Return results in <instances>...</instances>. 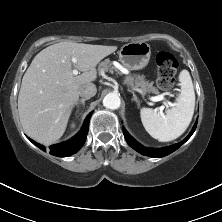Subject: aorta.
Here are the masks:
<instances>
[{
  "instance_id": "1",
  "label": "aorta",
  "mask_w": 222,
  "mask_h": 222,
  "mask_svg": "<svg viewBox=\"0 0 222 222\" xmlns=\"http://www.w3.org/2000/svg\"><path fill=\"white\" fill-rule=\"evenodd\" d=\"M121 100L117 93H108L103 99V105L108 109H118L120 107Z\"/></svg>"
}]
</instances>
